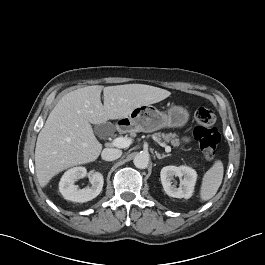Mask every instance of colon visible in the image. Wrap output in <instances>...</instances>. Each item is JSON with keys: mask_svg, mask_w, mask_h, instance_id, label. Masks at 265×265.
Instances as JSON below:
<instances>
[{"mask_svg": "<svg viewBox=\"0 0 265 265\" xmlns=\"http://www.w3.org/2000/svg\"><path fill=\"white\" fill-rule=\"evenodd\" d=\"M196 127L195 139L199 143L200 150L207 160H212L220 143L221 136L216 127L217 118L209 108H198L195 112Z\"/></svg>", "mask_w": 265, "mask_h": 265, "instance_id": "1", "label": "colon"}]
</instances>
